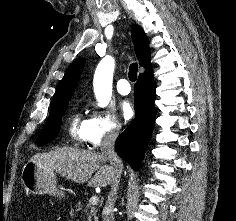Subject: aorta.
<instances>
[{"label":"aorta","mask_w":236,"mask_h":221,"mask_svg":"<svg viewBox=\"0 0 236 221\" xmlns=\"http://www.w3.org/2000/svg\"><path fill=\"white\" fill-rule=\"evenodd\" d=\"M100 66L103 70V79L99 85L95 87V95L101 107H105L112 95V79L115 67L114 59L107 56L102 59Z\"/></svg>","instance_id":"aorta-1"}]
</instances>
